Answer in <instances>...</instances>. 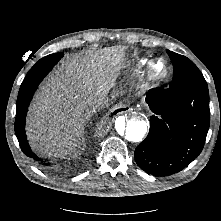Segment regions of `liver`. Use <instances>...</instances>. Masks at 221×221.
Returning <instances> with one entry per match:
<instances>
[{"instance_id": "1", "label": "liver", "mask_w": 221, "mask_h": 221, "mask_svg": "<svg viewBox=\"0 0 221 221\" xmlns=\"http://www.w3.org/2000/svg\"><path fill=\"white\" fill-rule=\"evenodd\" d=\"M126 63V47L67 56L31 105L26 130L32 148L55 157L73 152L94 113L93 102L117 86Z\"/></svg>"}]
</instances>
